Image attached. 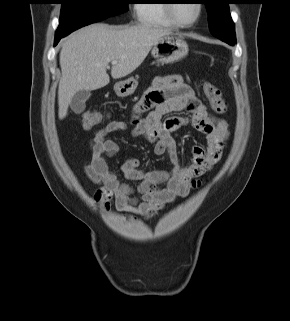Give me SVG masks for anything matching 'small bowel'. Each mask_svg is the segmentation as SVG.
<instances>
[{
  "label": "small bowel",
  "instance_id": "1",
  "mask_svg": "<svg viewBox=\"0 0 290 321\" xmlns=\"http://www.w3.org/2000/svg\"><path fill=\"white\" fill-rule=\"evenodd\" d=\"M182 111L190 116H169ZM188 125L207 135L208 146H194L192 161L183 163L172 133ZM126 128L125 122L114 120L94 132L84 172L100 186L96 200L103 210L109 211L114 205L119 211L143 218L152 217L175 198L187 196L219 161L230 133L227 121L212 115L182 76L157 77L133 108L131 135L143 136L153 143L155 155H166L171 167L143 169L137 158H128L121 163L120 171L127 179L138 182L132 186L120 181L103 157L115 156L119 151L118 143L108 135Z\"/></svg>",
  "mask_w": 290,
  "mask_h": 321
}]
</instances>
